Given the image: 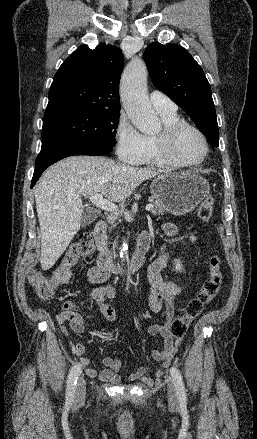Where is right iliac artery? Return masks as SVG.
Returning <instances> with one entry per match:
<instances>
[{
  "mask_svg": "<svg viewBox=\"0 0 257 439\" xmlns=\"http://www.w3.org/2000/svg\"><path fill=\"white\" fill-rule=\"evenodd\" d=\"M81 373V365L79 363H76L69 374L68 382H67V392H66V400L72 401L75 396V387L77 383V378L79 374Z\"/></svg>",
  "mask_w": 257,
  "mask_h": 439,
  "instance_id": "82829eb1",
  "label": "right iliac artery"
}]
</instances>
